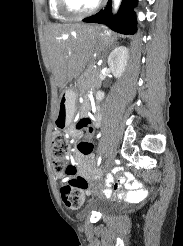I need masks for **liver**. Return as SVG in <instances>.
Instances as JSON below:
<instances>
[{
    "label": "liver",
    "instance_id": "obj_1",
    "mask_svg": "<svg viewBox=\"0 0 183 246\" xmlns=\"http://www.w3.org/2000/svg\"><path fill=\"white\" fill-rule=\"evenodd\" d=\"M97 29L83 24H52L47 27L49 62L60 89L89 62L94 53Z\"/></svg>",
    "mask_w": 183,
    "mask_h": 246
}]
</instances>
